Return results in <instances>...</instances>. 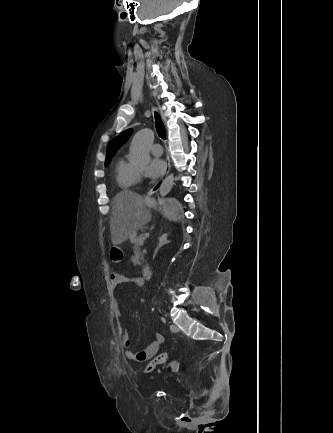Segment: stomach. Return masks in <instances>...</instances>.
<instances>
[{
	"instance_id": "stomach-1",
	"label": "stomach",
	"mask_w": 333,
	"mask_h": 433,
	"mask_svg": "<svg viewBox=\"0 0 333 433\" xmlns=\"http://www.w3.org/2000/svg\"><path fill=\"white\" fill-rule=\"evenodd\" d=\"M146 204L155 205L154 201H145ZM184 203L182 201H173V198H170L167 206H164L163 213L165 220H180L181 215L184 212Z\"/></svg>"
}]
</instances>
